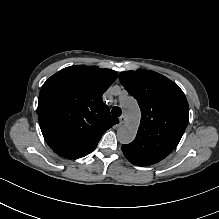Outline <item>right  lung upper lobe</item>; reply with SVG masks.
Instances as JSON below:
<instances>
[{
  "mask_svg": "<svg viewBox=\"0 0 219 219\" xmlns=\"http://www.w3.org/2000/svg\"><path fill=\"white\" fill-rule=\"evenodd\" d=\"M117 72L84 65L66 67L42 86L39 124L50 148L67 159L91 153L106 130L118 123L102 101Z\"/></svg>",
  "mask_w": 219,
  "mask_h": 219,
  "instance_id": "cb5924a9",
  "label": "right lung upper lobe"
}]
</instances>
